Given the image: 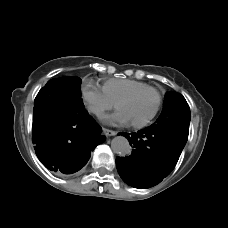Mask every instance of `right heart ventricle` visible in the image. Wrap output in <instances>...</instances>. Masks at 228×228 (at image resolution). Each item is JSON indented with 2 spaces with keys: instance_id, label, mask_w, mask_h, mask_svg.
<instances>
[{
  "instance_id": "obj_1",
  "label": "right heart ventricle",
  "mask_w": 228,
  "mask_h": 228,
  "mask_svg": "<svg viewBox=\"0 0 228 228\" xmlns=\"http://www.w3.org/2000/svg\"><path fill=\"white\" fill-rule=\"evenodd\" d=\"M150 87L145 82L133 79H109L103 84V92L117 105L126 96Z\"/></svg>"
}]
</instances>
